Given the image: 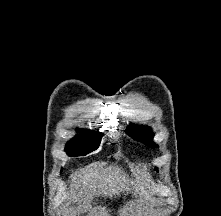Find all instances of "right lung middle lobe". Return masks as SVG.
I'll use <instances>...</instances> for the list:
<instances>
[{
    "label": "right lung middle lobe",
    "mask_w": 221,
    "mask_h": 216,
    "mask_svg": "<svg viewBox=\"0 0 221 216\" xmlns=\"http://www.w3.org/2000/svg\"><path fill=\"white\" fill-rule=\"evenodd\" d=\"M76 135L67 143L65 151L69 156H85L96 150L101 142L102 133L92 130H78Z\"/></svg>",
    "instance_id": "1"
}]
</instances>
